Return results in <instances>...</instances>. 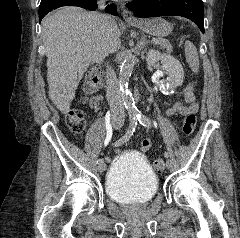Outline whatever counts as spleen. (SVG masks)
Returning a JSON list of instances; mask_svg holds the SVG:
<instances>
[{
	"label": "spleen",
	"instance_id": "3e777b00",
	"mask_svg": "<svg viewBox=\"0 0 240 238\" xmlns=\"http://www.w3.org/2000/svg\"><path fill=\"white\" fill-rule=\"evenodd\" d=\"M185 56L189 67L193 72L199 70V57L195 45L191 41L185 42Z\"/></svg>",
	"mask_w": 240,
	"mask_h": 238
}]
</instances>
